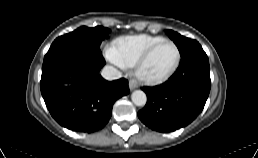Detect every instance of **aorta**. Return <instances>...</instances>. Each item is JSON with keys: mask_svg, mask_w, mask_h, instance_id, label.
Instances as JSON below:
<instances>
[{"mask_svg": "<svg viewBox=\"0 0 258 158\" xmlns=\"http://www.w3.org/2000/svg\"><path fill=\"white\" fill-rule=\"evenodd\" d=\"M132 102L136 106H144L147 102V96L142 90H135L131 95Z\"/></svg>", "mask_w": 258, "mask_h": 158, "instance_id": "762f6f07", "label": "aorta"}]
</instances>
